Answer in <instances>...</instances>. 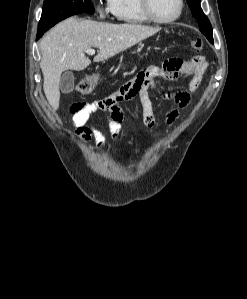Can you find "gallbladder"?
I'll return each mask as SVG.
<instances>
[{
  "mask_svg": "<svg viewBox=\"0 0 247 299\" xmlns=\"http://www.w3.org/2000/svg\"><path fill=\"white\" fill-rule=\"evenodd\" d=\"M74 74L72 71H65L60 77L59 88L62 93L67 94L73 91L74 89Z\"/></svg>",
  "mask_w": 247,
  "mask_h": 299,
  "instance_id": "1",
  "label": "gallbladder"
}]
</instances>
